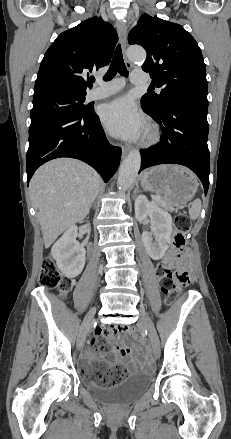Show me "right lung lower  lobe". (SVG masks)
<instances>
[{
    "label": "right lung lower lobe",
    "mask_w": 231,
    "mask_h": 439,
    "mask_svg": "<svg viewBox=\"0 0 231 439\" xmlns=\"http://www.w3.org/2000/svg\"><path fill=\"white\" fill-rule=\"evenodd\" d=\"M121 148L109 144L99 117L89 112L65 114L31 124L26 156L27 183L43 163L71 157L82 160L101 174L107 182L116 172Z\"/></svg>",
    "instance_id": "right-lung-lower-lobe-1"
}]
</instances>
